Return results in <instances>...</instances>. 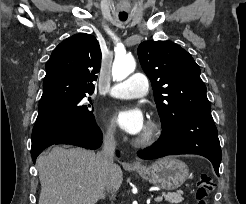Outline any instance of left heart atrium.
Here are the masks:
<instances>
[{
	"mask_svg": "<svg viewBox=\"0 0 246 204\" xmlns=\"http://www.w3.org/2000/svg\"><path fill=\"white\" fill-rule=\"evenodd\" d=\"M118 126L130 135L142 133L146 127V121L142 110L135 106H125L115 114Z\"/></svg>",
	"mask_w": 246,
	"mask_h": 204,
	"instance_id": "obj_1",
	"label": "left heart atrium"
}]
</instances>
